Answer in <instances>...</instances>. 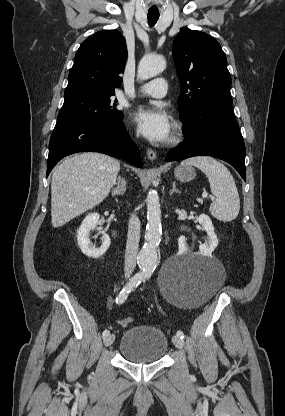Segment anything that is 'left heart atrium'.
<instances>
[{"instance_id": "left-heart-atrium-1", "label": "left heart atrium", "mask_w": 285, "mask_h": 416, "mask_svg": "<svg viewBox=\"0 0 285 416\" xmlns=\"http://www.w3.org/2000/svg\"><path fill=\"white\" fill-rule=\"evenodd\" d=\"M133 119L143 136L152 142H165L171 135L170 117L160 107H139Z\"/></svg>"}]
</instances>
